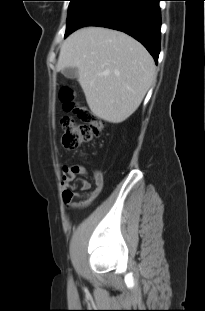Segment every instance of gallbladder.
<instances>
[{"label":"gallbladder","mask_w":205,"mask_h":311,"mask_svg":"<svg viewBox=\"0 0 205 311\" xmlns=\"http://www.w3.org/2000/svg\"><path fill=\"white\" fill-rule=\"evenodd\" d=\"M62 74L67 78L74 79L78 77V69L72 67L64 68Z\"/></svg>","instance_id":"bac80fb5"}]
</instances>
